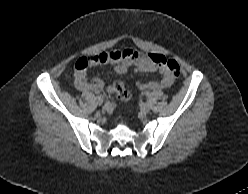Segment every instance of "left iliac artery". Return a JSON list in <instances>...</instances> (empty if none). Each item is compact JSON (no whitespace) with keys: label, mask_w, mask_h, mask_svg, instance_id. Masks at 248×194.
<instances>
[{"label":"left iliac artery","mask_w":248,"mask_h":194,"mask_svg":"<svg viewBox=\"0 0 248 194\" xmlns=\"http://www.w3.org/2000/svg\"><path fill=\"white\" fill-rule=\"evenodd\" d=\"M145 95L148 96L149 95V92H146Z\"/></svg>","instance_id":"44dca946"}]
</instances>
